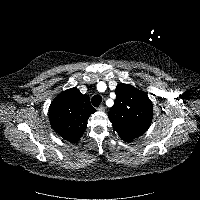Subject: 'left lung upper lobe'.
<instances>
[{
  "instance_id": "5c2ea615",
  "label": "left lung upper lobe",
  "mask_w": 200,
  "mask_h": 200,
  "mask_svg": "<svg viewBox=\"0 0 200 200\" xmlns=\"http://www.w3.org/2000/svg\"><path fill=\"white\" fill-rule=\"evenodd\" d=\"M115 92L116 100L108 117L121 139L130 142L150 127L152 102L145 93L129 84L117 85Z\"/></svg>"
}]
</instances>
